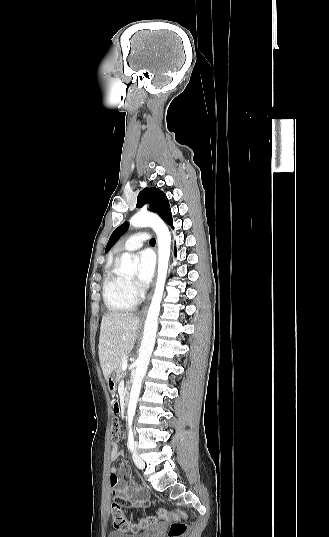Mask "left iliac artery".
Segmentation results:
<instances>
[{
	"label": "left iliac artery",
	"instance_id": "obj_1",
	"mask_svg": "<svg viewBox=\"0 0 329 537\" xmlns=\"http://www.w3.org/2000/svg\"><path fill=\"white\" fill-rule=\"evenodd\" d=\"M128 445H129L130 450L133 451L134 450V434H133L132 429H129V432H128Z\"/></svg>",
	"mask_w": 329,
	"mask_h": 537
}]
</instances>
